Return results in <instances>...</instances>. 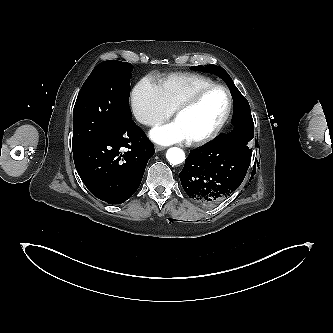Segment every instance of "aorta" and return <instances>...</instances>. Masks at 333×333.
<instances>
[{
  "label": "aorta",
  "mask_w": 333,
  "mask_h": 333,
  "mask_svg": "<svg viewBox=\"0 0 333 333\" xmlns=\"http://www.w3.org/2000/svg\"><path fill=\"white\" fill-rule=\"evenodd\" d=\"M166 158L171 164H180L185 160V153L178 147H172L167 150Z\"/></svg>",
  "instance_id": "762f6f07"
}]
</instances>
